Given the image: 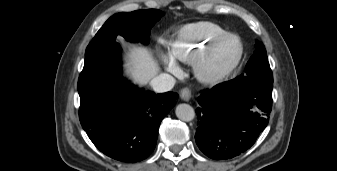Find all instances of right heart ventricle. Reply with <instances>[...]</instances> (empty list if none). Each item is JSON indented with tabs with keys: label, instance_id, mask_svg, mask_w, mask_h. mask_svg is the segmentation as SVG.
Segmentation results:
<instances>
[{
	"label": "right heart ventricle",
	"instance_id": "obj_1",
	"mask_svg": "<svg viewBox=\"0 0 337 171\" xmlns=\"http://www.w3.org/2000/svg\"><path fill=\"white\" fill-rule=\"evenodd\" d=\"M228 31L210 21H198L182 26L169 43L172 57L182 63L191 64L199 52L214 38Z\"/></svg>",
	"mask_w": 337,
	"mask_h": 171
}]
</instances>
